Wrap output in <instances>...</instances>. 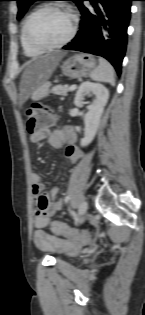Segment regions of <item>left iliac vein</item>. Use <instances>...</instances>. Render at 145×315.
I'll use <instances>...</instances> for the list:
<instances>
[{
    "instance_id": "4c4485c4",
    "label": "left iliac vein",
    "mask_w": 145,
    "mask_h": 315,
    "mask_svg": "<svg viewBox=\"0 0 145 315\" xmlns=\"http://www.w3.org/2000/svg\"><path fill=\"white\" fill-rule=\"evenodd\" d=\"M88 203L86 201H82L78 207L77 212V220H80L87 212Z\"/></svg>"
}]
</instances>
